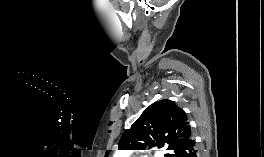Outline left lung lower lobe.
I'll list each match as a JSON object with an SVG mask.
<instances>
[{
  "label": "left lung lower lobe",
  "instance_id": "1",
  "mask_svg": "<svg viewBox=\"0 0 264 157\" xmlns=\"http://www.w3.org/2000/svg\"><path fill=\"white\" fill-rule=\"evenodd\" d=\"M179 157H199L193 138L189 139L180 149Z\"/></svg>",
  "mask_w": 264,
  "mask_h": 157
}]
</instances>
